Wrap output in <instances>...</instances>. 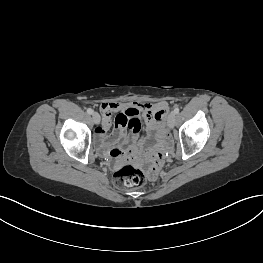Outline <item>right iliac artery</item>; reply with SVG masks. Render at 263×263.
<instances>
[{
  "label": "right iliac artery",
  "instance_id": "82829eb1",
  "mask_svg": "<svg viewBox=\"0 0 263 263\" xmlns=\"http://www.w3.org/2000/svg\"><path fill=\"white\" fill-rule=\"evenodd\" d=\"M87 113H88V114H92V113H93V110H92L91 108H88V109H87Z\"/></svg>",
  "mask_w": 263,
  "mask_h": 263
}]
</instances>
